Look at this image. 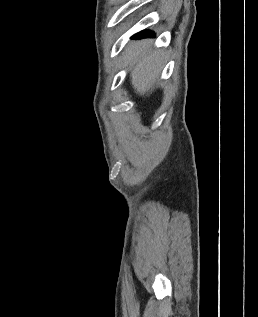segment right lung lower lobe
Listing matches in <instances>:
<instances>
[{"instance_id": "obj_1", "label": "right lung lower lobe", "mask_w": 258, "mask_h": 317, "mask_svg": "<svg viewBox=\"0 0 258 317\" xmlns=\"http://www.w3.org/2000/svg\"><path fill=\"white\" fill-rule=\"evenodd\" d=\"M152 36V32L150 31H142L140 33H137L136 35H134L132 38L133 39H141L143 37H149Z\"/></svg>"}]
</instances>
